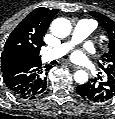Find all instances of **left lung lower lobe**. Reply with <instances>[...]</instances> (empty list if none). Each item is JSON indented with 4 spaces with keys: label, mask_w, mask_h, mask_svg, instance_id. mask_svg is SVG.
Masks as SVG:
<instances>
[{
    "label": "left lung lower lobe",
    "mask_w": 115,
    "mask_h": 119,
    "mask_svg": "<svg viewBox=\"0 0 115 119\" xmlns=\"http://www.w3.org/2000/svg\"><path fill=\"white\" fill-rule=\"evenodd\" d=\"M102 80V79H101ZM88 82L85 85H79L76 88V92L83 98L96 101L104 102L115 96V79L107 76L104 81Z\"/></svg>",
    "instance_id": "left-lung-lower-lobe-1"
}]
</instances>
